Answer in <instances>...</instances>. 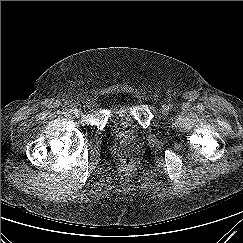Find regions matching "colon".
I'll return each instance as SVG.
<instances>
[{
  "label": "colon",
  "instance_id": "colon-1",
  "mask_svg": "<svg viewBox=\"0 0 243 243\" xmlns=\"http://www.w3.org/2000/svg\"><path fill=\"white\" fill-rule=\"evenodd\" d=\"M122 165L125 169H132L134 166V162L129 158H125L122 160Z\"/></svg>",
  "mask_w": 243,
  "mask_h": 243
}]
</instances>
